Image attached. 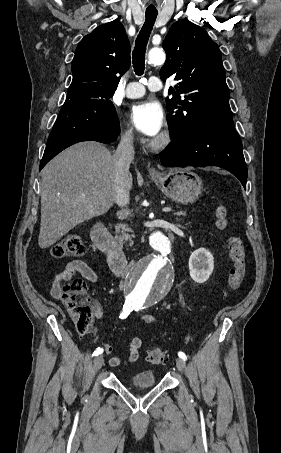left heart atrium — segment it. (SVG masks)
Here are the masks:
<instances>
[{
    "label": "left heart atrium",
    "mask_w": 281,
    "mask_h": 453,
    "mask_svg": "<svg viewBox=\"0 0 281 453\" xmlns=\"http://www.w3.org/2000/svg\"><path fill=\"white\" fill-rule=\"evenodd\" d=\"M129 118L135 127L149 137L157 136L164 124V112L155 101H141L129 111Z\"/></svg>",
    "instance_id": "obj_1"
}]
</instances>
